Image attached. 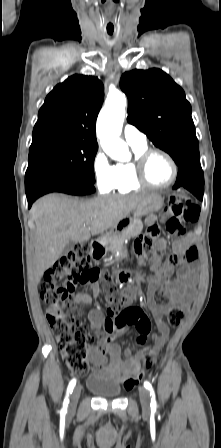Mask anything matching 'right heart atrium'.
Instances as JSON below:
<instances>
[{
    "label": "right heart atrium",
    "mask_w": 221,
    "mask_h": 448,
    "mask_svg": "<svg viewBox=\"0 0 221 448\" xmlns=\"http://www.w3.org/2000/svg\"><path fill=\"white\" fill-rule=\"evenodd\" d=\"M92 169L97 189L103 193L110 192L116 181V166L102 150L95 154Z\"/></svg>",
    "instance_id": "d8ad5b80"
}]
</instances>
